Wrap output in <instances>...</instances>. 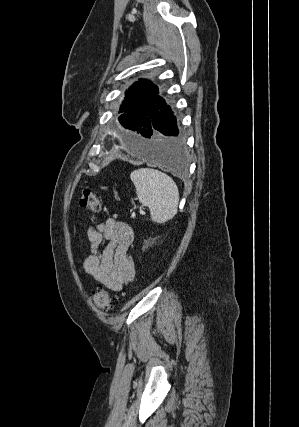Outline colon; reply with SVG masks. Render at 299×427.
Returning <instances> with one entry per match:
<instances>
[{
  "label": "colon",
  "mask_w": 299,
  "mask_h": 427,
  "mask_svg": "<svg viewBox=\"0 0 299 427\" xmlns=\"http://www.w3.org/2000/svg\"><path fill=\"white\" fill-rule=\"evenodd\" d=\"M79 206L89 213L95 215L102 209V204L99 196L92 190L86 189L82 192L79 200ZM95 305L105 311H110L115 305V301L110 297L108 291L99 287L93 294Z\"/></svg>",
  "instance_id": "1"
}]
</instances>
